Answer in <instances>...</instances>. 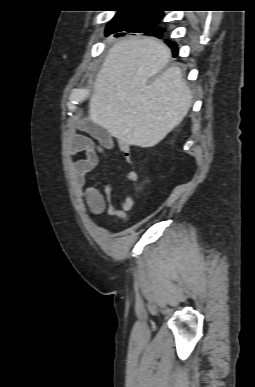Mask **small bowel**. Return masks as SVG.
<instances>
[{
  "instance_id": "obj_1",
  "label": "small bowel",
  "mask_w": 255,
  "mask_h": 387,
  "mask_svg": "<svg viewBox=\"0 0 255 387\" xmlns=\"http://www.w3.org/2000/svg\"><path fill=\"white\" fill-rule=\"evenodd\" d=\"M72 129L69 153L73 157L84 153V157L75 160L72 165L71 171L76 193L84 198L91 213L98 215L107 210L127 222V212L132 207V199L129 196L120 200L119 208H116L113 204L114 193L111 186H105L102 193L96 186L88 184V175L97 166L99 153L112 150L115 147L114 140L105 128L89 120L73 121ZM117 147L123 153L125 161L133 164L129 145L119 141ZM138 178L139 175L135 170H130L125 175L127 182H136Z\"/></svg>"
}]
</instances>
